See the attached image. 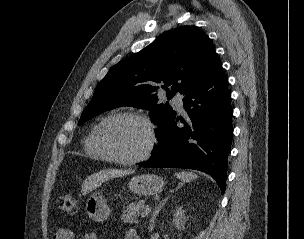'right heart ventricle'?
<instances>
[{
  "mask_svg": "<svg viewBox=\"0 0 304 239\" xmlns=\"http://www.w3.org/2000/svg\"><path fill=\"white\" fill-rule=\"evenodd\" d=\"M102 121H100L99 123H97L92 130L90 131V133L85 137L84 142H83V147H84V151L85 153L92 158L95 159H100V160H107V157L102 153V151L98 148L96 141H95V134H96V130L99 126V124Z\"/></svg>",
  "mask_w": 304,
  "mask_h": 239,
  "instance_id": "e07e8e85",
  "label": "right heart ventricle"
}]
</instances>
